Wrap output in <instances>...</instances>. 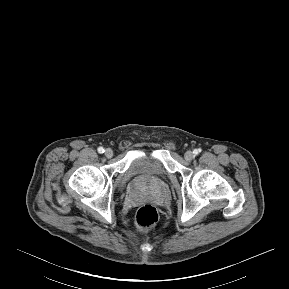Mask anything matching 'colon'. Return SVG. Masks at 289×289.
<instances>
[{"instance_id": "1", "label": "colon", "mask_w": 289, "mask_h": 289, "mask_svg": "<svg viewBox=\"0 0 289 289\" xmlns=\"http://www.w3.org/2000/svg\"><path fill=\"white\" fill-rule=\"evenodd\" d=\"M157 220V209L151 204L141 206L136 213V224L141 230L151 228Z\"/></svg>"}]
</instances>
